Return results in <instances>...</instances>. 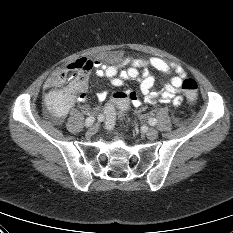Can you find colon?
<instances>
[{
	"mask_svg": "<svg viewBox=\"0 0 233 233\" xmlns=\"http://www.w3.org/2000/svg\"><path fill=\"white\" fill-rule=\"evenodd\" d=\"M92 67V61L86 58H81L66 63L51 74V84L57 87L65 81H80L88 76ZM181 89L188 100H196L198 85L194 79H184L181 85ZM128 106L129 99L125 91L114 93L104 111L103 121L105 128L112 130L116 122L124 115L128 109Z\"/></svg>",
	"mask_w": 233,
	"mask_h": 233,
	"instance_id": "colon-1",
	"label": "colon"
}]
</instances>
